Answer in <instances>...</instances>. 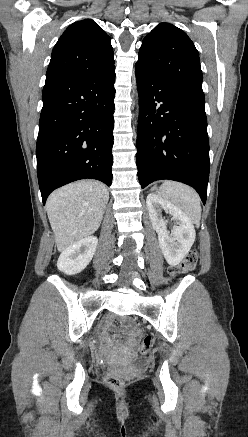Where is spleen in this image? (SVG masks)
Returning <instances> with one entry per match:
<instances>
[{
	"instance_id": "obj_1",
	"label": "spleen",
	"mask_w": 248,
	"mask_h": 437,
	"mask_svg": "<svg viewBox=\"0 0 248 437\" xmlns=\"http://www.w3.org/2000/svg\"><path fill=\"white\" fill-rule=\"evenodd\" d=\"M159 194L183 211L197 226L201 220L200 197L197 192L185 184L165 181L160 186Z\"/></svg>"
}]
</instances>
